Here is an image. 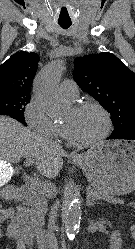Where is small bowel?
<instances>
[{
  "mask_svg": "<svg viewBox=\"0 0 135 249\" xmlns=\"http://www.w3.org/2000/svg\"><path fill=\"white\" fill-rule=\"evenodd\" d=\"M0 237L15 239V244L7 249H27L24 227L14 206L0 204Z\"/></svg>",
  "mask_w": 135,
  "mask_h": 249,
  "instance_id": "small-bowel-1",
  "label": "small bowel"
}]
</instances>
